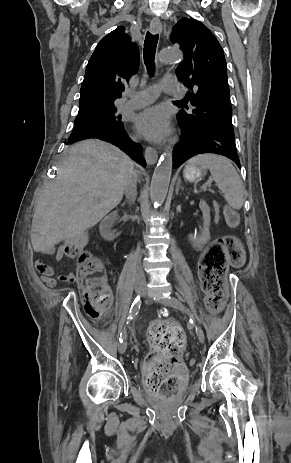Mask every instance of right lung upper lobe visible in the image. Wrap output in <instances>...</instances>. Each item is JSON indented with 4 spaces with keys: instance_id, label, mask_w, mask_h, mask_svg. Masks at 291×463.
I'll use <instances>...</instances> for the list:
<instances>
[{
    "instance_id": "cb5924a9",
    "label": "right lung upper lobe",
    "mask_w": 291,
    "mask_h": 463,
    "mask_svg": "<svg viewBox=\"0 0 291 463\" xmlns=\"http://www.w3.org/2000/svg\"><path fill=\"white\" fill-rule=\"evenodd\" d=\"M139 67V48L123 26L106 35L97 45L86 67L77 117L115 108L125 80Z\"/></svg>"
}]
</instances>
